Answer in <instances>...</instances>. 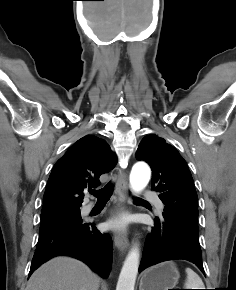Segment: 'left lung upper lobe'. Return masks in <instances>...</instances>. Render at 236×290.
Wrapping results in <instances>:
<instances>
[{"instance_id": "left-lung-upper-lobe-1", "label": "left lung upper lobe", "mask_w": 236, "mask_h": 290, "mask_svg": "<svg viewBox=\"0 0 236 290\" xmlns=\"http://www.w3.org/2000/svg\"><path fill=\"white\" fill-rule=\"evenodd\" d=\"M136 159L152 169V189L164 203L163 218L198 232L197 193L189 168L179 152L155 134L141 141ZM158 219V218H157Z\"/></svg>"}]
</instances>
